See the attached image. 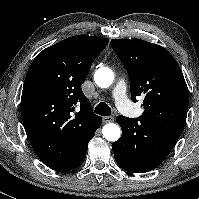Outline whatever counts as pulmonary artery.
<instances>
[{"mask_svg": "<svg viewBox=\"0 0 199 199\" xmlns=\"http://www.w3.org/2000/svg\"><path fill=\"white\" fill-rule=\"evenodd\" d=\"M112 97L119 110L125 111L128 105V93L126 82L120 78L112 92Z\"/></svg>", "mask_w": 199, "mask_h": 199, "instance_id": "e3ab8cb5", "label": "pulmonary artery"}]
</instances>
